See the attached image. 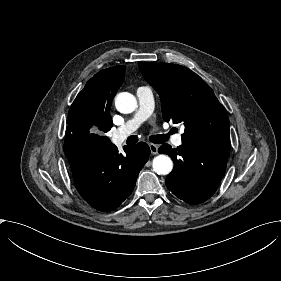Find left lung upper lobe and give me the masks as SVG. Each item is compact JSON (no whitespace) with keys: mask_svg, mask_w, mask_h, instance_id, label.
I'll return each instance as SVG.
<instances>
[{"mask_svg":"<svg viewBox=\"0 0 281 281\" xmlns=\"http://www.w3.org/2000/svg\"><path fill=\"white\" fill-rule=\"evenodd\" d=\"M138 64L160 95L163 119L184 124L183 144H230L226 110L196 73L176 64Z\"/></svg>","mask_w":281,"mask_h":281,"instance_id":"5c2ea615","label":"left lung upper lobe"}]
</instances>
